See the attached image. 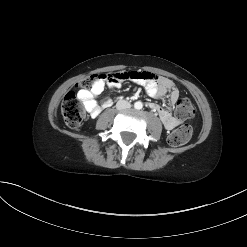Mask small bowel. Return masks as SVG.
<instances>
[{"label":"small bowel","instance_id":"obj_1","mask_svg":"<svg viewBox=\"0 0 247 247\" xmlns=\"http://www.w3.org/2000/svg\"><path fill=\"white\" fill-rule=\"evenodd\" d=\"M127 78L144 86L147 94L151 97L163 98L168 95L170 105H174L179 98V90L170 79L156 76L150 71L131 69H126L125 71L120 69L108 74L100 79L90 90H79L77 93L78 98L82 101L90 115L97 117L103 108L111 105L109 99L105 100L102 104H99L96 100L103 92L105 85L111 88H118L127 81ZM150 108L158 113L160 120L167 130H172L179 125V120L170 113L168 108L157 104H150Z\"/></svg>","mask_w":247,"mask_h":247}]
</instances>
